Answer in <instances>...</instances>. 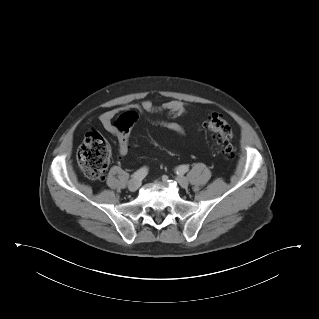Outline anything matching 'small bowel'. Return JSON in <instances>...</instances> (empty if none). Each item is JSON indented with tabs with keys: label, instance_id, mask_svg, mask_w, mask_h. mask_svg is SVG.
<instances>
[{
	"label": "small bowel",
	"instance_id": "c3829d8e",
	"mask_svg": "<svg viewBox=\"0 0 319 319\" xmlns=\"http://www.w3.org/2000/svg\"><path fill=\"white\" fill-rule=\"evenodd\" d=\"M136 108L143 114L152 116L157 114H166L168 119H152L151 121L166 129L174 132L177 135L183 136L185 134V128L182 124L174 121V118L185 115L188 111V107L185 103L172 100L165 102L161 105H155L151 100L145 99L142 100L139 104L136 105ZM117 109H111L105 111L100 115V122L103 128L112 135L118 137V148L120 154L124 155L129 149V141L124 143L119 136V133L113 123V120L117 114Z\"/></svg>",
	"mask_w": 319,
	"mask_h": 319
}]
</instances>
